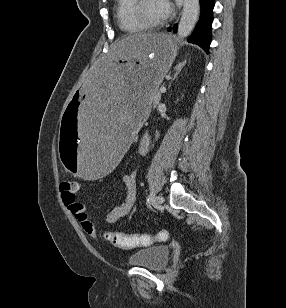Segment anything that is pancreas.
<instances>
[{"label": "pancreas", "mask_w": 286, "mask_h": 308, "mask_svg": "<svg viewBox=\"0 0 286 308\" xmlns=\"http://www.w3.org/2000/svg\"><path fill=\"white\" fill-rule=\"evenodd\" d=\"M160 98H161V94H160V91L159 90H156L155 91V94H154V96H153V100H152V106H155L157 103H158V101L160 100Z\"/></svg>", "instance_id": "1"}]
</instances>
